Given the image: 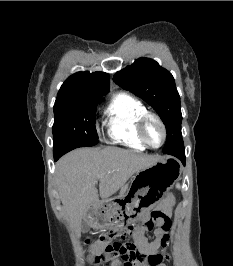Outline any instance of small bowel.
Instances as JSON below:
<instances>
[{"label":"small bowel","instance_id":"small-bowel-1","mask_svg":"<svg viewBox=\"0 0 233 266\" xmlns=\"http://www.w3.org/2000/svg\"><path fill=\"white\" fill-rule=\"evenodd\" d=\"M173 209V201L171 198L164 201L157 210H160L164 212L169 218L172 214ZM149 217L145 216V221ZM171 225V224H170ZM170 229V226L166 229L162 228L161 224L157 222L154 227V240L149 241L147 237L145 236L144 229L141 228H135V230L132 233V237L134 239V244L137 249V251L143 255L148 257H156L158 261L152 265L146 262L136 265V266H165L163 264V260L167 258V251H164L162 253V250H164L168 244L169 235L168 231ZM105 246L106 243L96 241L92 247H91V258L90 261L93 264H105L106 266H125L124 262L120 258H106L104 256L105 252Z\"/></svg>","mask_w":233,"mask_h":266}]
</instances>
